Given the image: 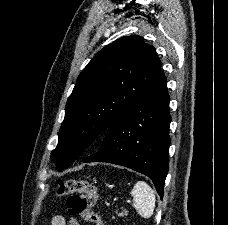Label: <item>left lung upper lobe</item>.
<instances>
[{
  "label": "left lung upper lobe",
  "instance_id": "obj_1",
  "mask_svg": "<svg viewBox=\"0 0 228 225\" xmlns=\"http://www.w3.org/2000/svg\"><path fill=\"white\" fill-rule=\"evenodd\" d=\"M138 35L101 49L80 73L67 100L57 147V170L67 168L162 75L155 48Z\"/></svg>",
  "mask_w": 228,
  "mask_h": 225
}]
</instances>
